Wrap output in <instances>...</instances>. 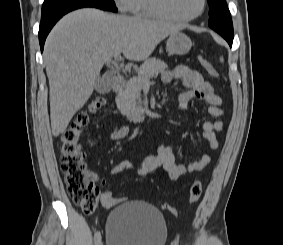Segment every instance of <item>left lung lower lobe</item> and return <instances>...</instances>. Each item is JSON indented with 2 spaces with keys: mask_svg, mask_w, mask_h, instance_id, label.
Masks as SVG:
<instances>
[{
  "mask_svg": "<svg viewBox=\"0 0 283 245\" xmlns=\"http://www.w3.org/2000/svg\"><path fill=\"white\" fill-rule=\"evenodd\" d=\"M227 42L229 43L230 47L232 46V42H233V37H224Z\"/></svg>",
  "mask_w": 283,
  "mask_h": 245,
  "instance_id": "obj_1",
  "label": "left lung lower lobe"
}]
</instances>
